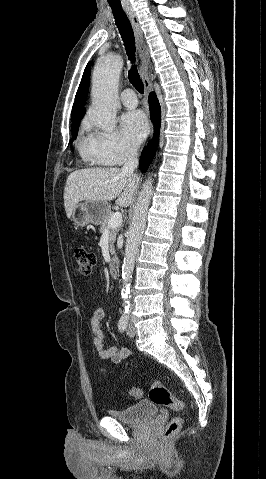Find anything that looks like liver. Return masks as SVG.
<instances>
[{"mask_svg": "<svg viewBox=\"0 0 266 479\" xmlns=\"http://www.w3.org/2000/svg\"><path fill=\"white\" fill-rule=\"evenodd\" d=\"M140 177L125 174L119 168H89L72 172L64 189V207L68 218L80 201H105L128 207L137 194Z\"/></svg>", "mask_w": 266, "mask_h": 479, "instance_id": "6515ba94", "label": "liver"}]
</instances>
